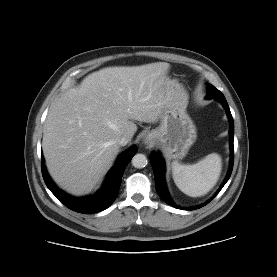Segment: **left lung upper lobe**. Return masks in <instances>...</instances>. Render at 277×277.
I'll return each instance as SVG.
<instances>
[{"label":"left lung upper lobe","mask_w":277,"mask_h":277,"mask_svg":"<svg viewBox=\"0 0 277 277\" xmlns=\"http://www.w3.org/2000/svg\"><path fill=\"white\" fill-rule=\"evenodd\" d=\"M207 96L208 99H216L218 101L226 100L224 95L216 89L213 85L207 84Z\"/></svg>","instance_id":"1"}]
</instances>
